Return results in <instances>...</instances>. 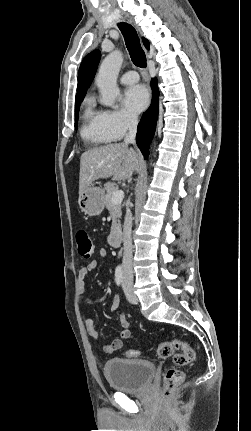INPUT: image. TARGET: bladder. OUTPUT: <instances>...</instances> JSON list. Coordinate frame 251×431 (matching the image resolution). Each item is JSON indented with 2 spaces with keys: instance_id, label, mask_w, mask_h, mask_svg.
I'll list each match as a JSON object with an SVG mask.
<instances>
[{
  "instance_id": "obj_1",
  "label": "bladder",
  "mask_w": 251,
  "mask_h": 431,
  "mask_svg": "<svg viewBox=\"0 0 251 431\" xmlns=\"http://www.w3.org/2000/svg\"><path fill=\"white\" fill-rule=\"evenodd\" d=\"M155 370V365L148 360L114 358L104 364L103 374L113 390L139 393L150 384Z\"/></svg>"
}]
</instances>
